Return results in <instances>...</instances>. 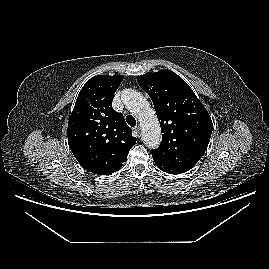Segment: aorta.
<instances>
[{"label": "aorta", "instance_id": "762f6f07", "mask_svg": "<svg viewBox=\"0 0 269 269\" xmlns=\"http://www.w3.org/2000/svg\"><path fill=\"white\" fill-rule=\"evenodd\" d=\"M122 100L129 111L140 121L144 144L149 148L158 147L161 141V128L157 115L149 102L140 92L132 89L122 92Z\"/></svg>", "mask_w": 269, "mask_h": 269}]
</instances>
